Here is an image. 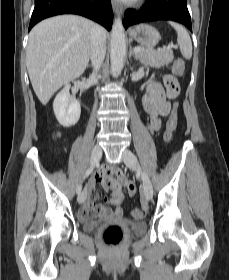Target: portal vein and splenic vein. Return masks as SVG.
<instances>
[{"mask_svg":"<svg viewBox=\"0 0 229 280\" xmlns=\"http://www.w3.org/2000/svg\"><path fill=\"white\" fill-rule=\"evenodd\" d=\"M134 51H135V52H141V51H142V48L136 47V48H134Z\"/></svg>","mask_w":229,"mask_h":280,"instance_id":"18ae733b","label":"portal vein and splenic vein"}]
</instances>
